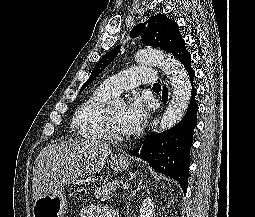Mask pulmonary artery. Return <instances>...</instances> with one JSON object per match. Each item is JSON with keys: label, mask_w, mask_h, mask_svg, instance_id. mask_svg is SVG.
<instances>
[{"label": "pulmonary artery", "mask_w": 255, "mask_h": 217, "mask_svg": "<svg viewBox=\"0 0 255 217\" xmlns=\"http://www.w3.org/2000/svg\"><path fill=\"white\" fill-rule=\"evenodd\" d=\"M155 81L156 75L153 69L133 67L106 79L102 86L111 95L116 96L123 90L134 88L139 84L155 83Z\"/></svg>", "instance_id": "e3ab8cb5"}]
</instances>
